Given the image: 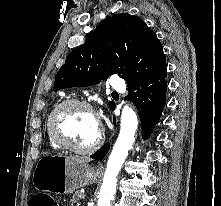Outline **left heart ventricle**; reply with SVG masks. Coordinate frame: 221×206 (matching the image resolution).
<instances>
[{"label": "left heart ventricle", "instance_id": "1", "mask_svg": "<svg viewBox=\"0 0 221 206\" xmlns=\"http://www.w3.org/2000/svg\"><path fill=\"white\" fill-rule=\"evenodd\" d=\"M59 132L76 147L91 145L98 136L99 123L91 111L69 107L57 119Z\"/></svg>", "mask_w": 221, "mask_h": 206}]
</instances>
